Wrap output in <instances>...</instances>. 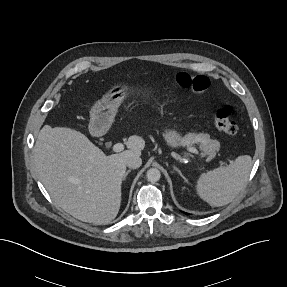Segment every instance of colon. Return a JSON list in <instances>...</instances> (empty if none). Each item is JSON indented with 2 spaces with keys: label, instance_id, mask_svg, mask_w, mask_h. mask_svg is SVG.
<instances>
[{
  "label": "colon",
  "instance_id": "1",
  "mask_svg": "<svg viewBox=\"0 0 287 287\" xmlns=\"http://www.w3.org/2000/svg\"><path fill=\"white\" fill-rule=\"evenodd\" d=\"M175 81L181 88L197 94H203L209 88V79L205 75L181 72L176 75ZM214 125L216 129L229 135H235L239 129L237 123L231 118V110L228 107H222L215 112Z\"/></svg>",
  "mask_w": 287,
  "mask_h": 287
}]
</instances>
